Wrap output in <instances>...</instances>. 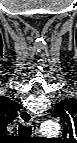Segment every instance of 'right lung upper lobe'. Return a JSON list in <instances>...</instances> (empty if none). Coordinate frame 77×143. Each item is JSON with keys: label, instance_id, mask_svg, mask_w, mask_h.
I'll return each mask as SVG.
<instances>
[{"label": "right lung upper lobe", "instance_id": "1", "mask_svg": "<svg viewBox=\"0 0 77 143\" xmlns=\"http://www.w3.org/2000/svg\"><path fill=\"white\" fill-rule=\"evenodd\" d=\"M22 108L20 104L6 97H0V127L6 131V126L11 123L17 111Z\"/></svg>", "mask_w": 77, "mask_h": 143}]
</instances>
